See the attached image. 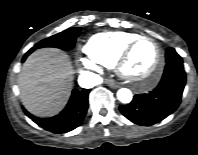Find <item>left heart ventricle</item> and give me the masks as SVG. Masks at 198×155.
<instances>
[{
    "instance_id": "left-heart-ventricle-1",
    "label": "left heart ventricle",
    "mask_w": 198,
    "mask_h": 155,
    "mask_svg": "<svg viewBox=\"0 0 198 155\" xmlns=\"http://www.w3.org/2000/svg\"><path fill=\"white\" fill-rule=\"evenodd\" d=\"M156 57V45L149 40L141 41L132 50L125 64V70L131 76L144 77L152 71Z\"/></svg>"
}]
</instances>
